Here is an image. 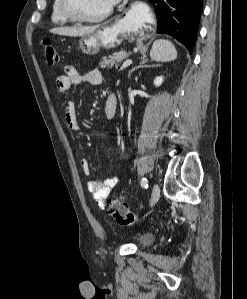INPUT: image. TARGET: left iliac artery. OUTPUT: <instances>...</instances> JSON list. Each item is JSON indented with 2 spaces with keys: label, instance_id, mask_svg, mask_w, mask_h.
Listing matches in <instances>:
<instances>
[{
  "label": "left iliac artery",
  "instance_id": "left-iliac-artery-1",
  "mask_svg": "<svg viewBox=\"0 0 247 299\" xmlns=\"http://www.w3.org/2000/svg\"><path fill=\"white\" fill-rule=\"evenodd\" d=\"M141 186H142L143 188H148V180H147L146 178H143V179L141 180Z\"/></svg>",
  "mask_w": 247,
  "mask_h": 299
}]
</instances>
